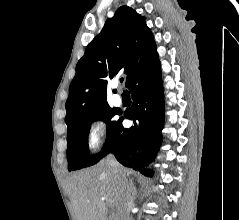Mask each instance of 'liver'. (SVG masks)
<instances>
[{
    "instance_id": "liver-1",
    "label": "liver",
    "mask_w": 239,
    "mask_h": 220,
    "mask_svg": "<svg viewBox=\"0 0 239 220\" xmlns=\"http://www.w3.org/2000/svg\"><path fill=\"white\" fill-rule=\"evenodd\" d=\"M121 168L127 181L132 171ZM67 188L76 220H108L107 205L115 206L120 215V177L106 161L72 175Z\"/></svg>"
}]
</instances>
